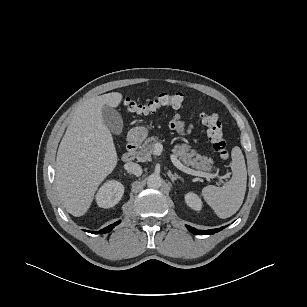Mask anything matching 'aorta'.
<instances>
[{
	"label": "aorta",
	"instance_id": "762f6f07",
	"mask_svg": "<svg viewBox=\"0 0 307 307\" xmlns=\"http://www.w3.org/2000/svg\"><path fill=\"white\" fill-rule=\"evenodd\" d=\"M147 185L148 187L153 189L160 188L162 185V178L160 177V175L153 173L148 176Z\"/></svg>",
	"mask_w": 307,
	"mask_h": 307
}]
</instances>
